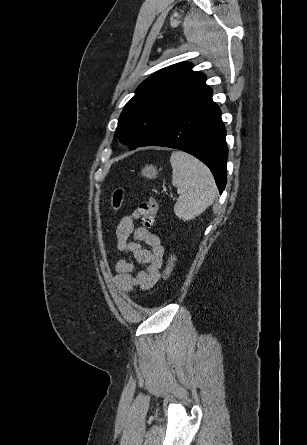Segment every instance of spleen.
I'll list each match as a JSON object with an SVG mask.
<instances>
[{"label": "spleen", "mask_w": 307, "mask_h": 445, "mask_svg": "<svg viewBox=\"0 0 307 445\" xmlns=\"http://www.w3.org/2000/svg\"><path fill=\"white\" fill-rule=\"evenodd\" d=\"M172 184L178 186V198L174 204V212L182 220H192L210 204H213L217 192L214 176L201 160L175 150L170 158Z\"/></svg>", "instance_id": "1"}]
</instances>
